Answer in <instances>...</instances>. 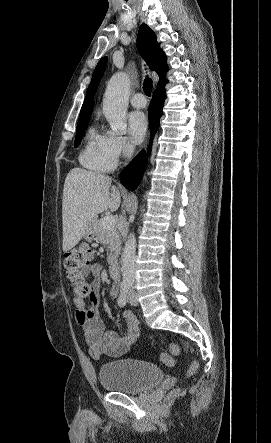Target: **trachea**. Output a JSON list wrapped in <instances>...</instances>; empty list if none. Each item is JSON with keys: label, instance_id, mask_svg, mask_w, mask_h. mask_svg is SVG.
I'll use <instances>...</instances> for the list:
<instances>
[{"label": "trachea", "instance_id": "trachea-1", "mask_svg": "<svg viewBox=\"0 0 271 443\" xmlns=\"http://www.w3.org/2000/svg\"><path fill=\"white\" fill-rule=\"evenodd\" d=\"M143 90L145 94L150 97L152 91V81L150 80V78H145V81L143 83Z\"/></svg>", "mask_w": 271, "mask_h": 443}]
</instances>
